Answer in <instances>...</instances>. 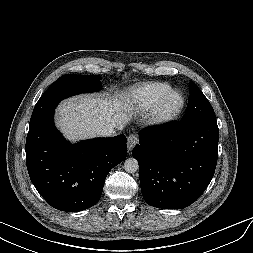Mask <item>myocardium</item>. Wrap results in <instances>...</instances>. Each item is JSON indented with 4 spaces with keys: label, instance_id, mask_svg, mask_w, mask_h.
Instances as JSON below:
<instances>
[{
    "label": "myocardium",
    "instance_id": "f54148a6",
    "mask_svg": "<svg viewBox=\"0 0 253 253\" xmlns=\"http://www.w3.org/2000/svg\"><path fill=\"white\" fill-rule=\"evenodd\" d=\"M173 95L180 97L179 106L171 111L164 109L166 101ZM186 104L184 94L179 90H170L162 95L151 110L149 121L153 125L162 126L174 121L183 111Z\"/></svg>",
    "mask_w": 253,
    "mask_h": 253
}]
</instances>
